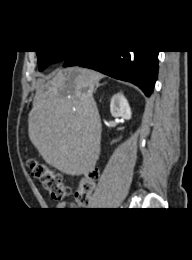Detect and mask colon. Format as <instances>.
Instances as JSON below:
<instances>
[{
    "label": "colon",
    "instance_id": "1",
    "mask_svg": "<svg viewBox=\"0 0 192 260\" xmlns=\"http://www.w3.org/2000/svg\"><path fill=\"white\" fill-rule=\"evenodd\" d=\"M27 164L32 175L38 179L44 190L54 201L64 200L70 193L69 187L63 182L62 176L48 165L35 158H29ZM98 177L96 170L82 177L74 195V204L79 207L87 206L90 202V195L94 189Z\"/></svg>",
    "mask_w": 192,
    "mask_h": 260
}]
</instances>
